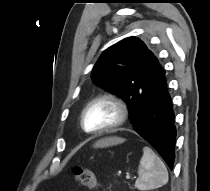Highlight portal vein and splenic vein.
I'll use <instances>...</instances> for the list:
<instances>
[{
  "label": "portal vein and splenic vein",
  "mask_w": 210,
  "mask_h": 191,
  "mask_svg": "<svg viewBox=\"0 0 210 191\" xmlns=\"http://www.w3.org/2000/svg\"><path fill=\"white\" fill-rule=\"evenodd\" d=\"M126 179L127 180H130L131 179V176L130 175H126Z\"/></svg>",
  "instance_id": "obj_1"
}]
</instances>
